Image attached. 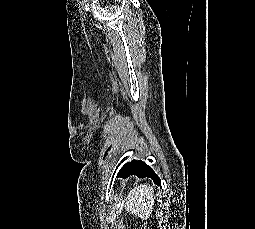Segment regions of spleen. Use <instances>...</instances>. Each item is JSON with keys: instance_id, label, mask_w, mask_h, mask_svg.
I'll return each mask as SVG.
<instances>
[{"instance_id": "1", "label": "spleen", "mask_w": 255, "mask_h": 229, "mask_svg": "<svg viewBox=\"0 0 255 229\" xmlns=\"http://www.w3.org/2000/svg\"><path fill=\"white\" fill-rule=\"evenodd\" d=\"M123 206L127 212L147 220L154 206L153 188L147 184H140L129 192Z\"/></svg>"}]
</instances>
